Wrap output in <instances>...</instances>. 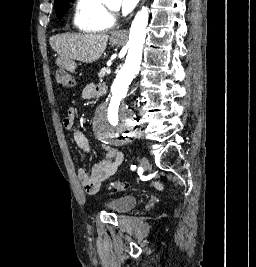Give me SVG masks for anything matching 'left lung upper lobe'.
I'll return each mask as SVG.
<instances>
[{
    "label": "left lung upper lobe",
    "instance_id": "5c2ea615",
    "mask_svg": "<svg viewBox=\"0 0 256 267\" xmlns=\"http://www.w3.org/2000/svg\"><path fill=\"white\" fill-rule=\"evenodd\" d=\"M71 0H55V11L57 17L60 19L68 10L69 2Z\"/></svg>",
    "mask_w": 256,
    "mask_h": 267
}]
</instances>
